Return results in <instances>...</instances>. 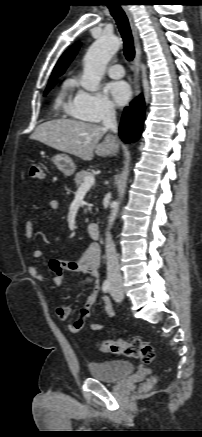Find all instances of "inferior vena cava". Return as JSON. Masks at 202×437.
Segmentation results:
<instances>
[{
  "label": "inferior vena cava",
  "mask_w": 202,
  "mask_h": 437,
  "mask_svg": "<svg viewBox=\"0 0 202 437\" xmlns=\"http://www.w3.org/2000/svg\"><path fill=\"white\" fill-rule=\"evenodd\" d=\"M103 126L107 130L117 133L118 126L116 121L115 109L112 106H107L102 116ZM106 259H107V278L110 282H120L122 280L118 255L116 253L115 244L109 233L106 234Z\"/></svg>",
  "instance_id": "1"
}]
</instances>
